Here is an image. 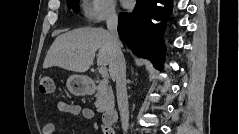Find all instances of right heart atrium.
I'll use <instances>...</instances> for the list:
<instances>
[{"mask_svg":"<svg viewBox=\"0 0 239 134\" xmlns=\"http://www.w3.org/2000/svg\"><path fill=\"white\" fill-rule=\"evenodd\" d=\"M85 18L92 23H100L115 18L116 10L113 0H87L83 5Z\"/></svg>","mask_w":239,"mask_h":134,"instance_id":"right-heart-atrium-1","label":"right heart atrium"}]
</instances>
